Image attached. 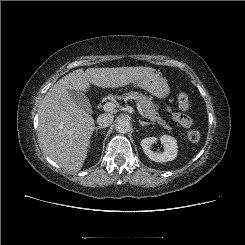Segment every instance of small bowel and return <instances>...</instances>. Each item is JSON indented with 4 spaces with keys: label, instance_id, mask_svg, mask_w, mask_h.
I'll list each match as a JSON object with an SVG mask.
<instances>
[{
    "label": "small bowel",
    "instance_id": "obj_1",
    "mask_svg": "<svg viewBox=\"0 0 245 245\" xmlns=\"http://www.w3.org/2000/svg\"><path fill=\"white\" fill-rule=\"evenodd\" d=\"M169 111L171 110L169 109ZM172 116L173 119L184 128H190L193 125V119L189 116L178 113H173Z\"/></svg>",
    "mask_w": 245,
    "mask_h": 245
}]
</instances>
